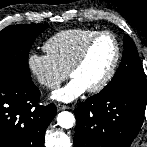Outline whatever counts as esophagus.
Returning <instances> with one entry per match:
<instances>
[{
	"label": "esophagus",
	"mask_w": 147,
	"mask_h": 147,
	"mask_svg": "<svg viewBox=\"0 0 147 147\" xmlns=\"http://www.w3.org/2000/svg\"><path fill=\"white\" fill-rule=\"evenodd\" d=\"M57 108H58V110H66V109H70L69 106L64 105V104H61V103L57 104Z\"/></svg>",
	"instance_id": "obj_1"
}]
</instances>
